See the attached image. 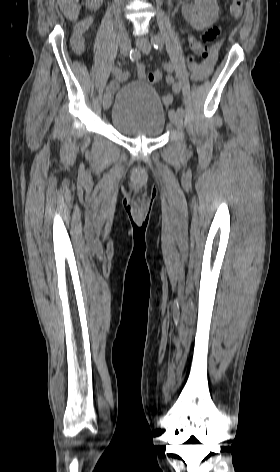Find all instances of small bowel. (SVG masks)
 Masks as SVG:
<instances>
[{"instance_id": "c3829d8e", "label": "small bowel", "mask_w": 280, "mask_h": 472, "mask_svg": "<svg viewBox=\"0 0 280 472\" xmlns=\"http://www.w3.org/2000/svg\"><path fill=\"white\" fill-rule=\"evenodd\" d=\"M91 24L90 19H85L81 21L75 28L74 34L72 36V47L73 50L77 54L83 53L85 46H86V38L84 37L85 31L88 29V27ZM186 38L188 43L190 44L191 47H193L196 43L195 38L190 35L186 34ZM216 52H212L211 55H209L207 58H205L203 61L199 63H193L189 65V69L191 72V77L194 81H202L209 77L214 69L215 63H216ZM137 69V76L141 80L146 79V70H145V65L142 62H138L136 65ZM127 79V74L123 72V77L120 79H117V81H124ZM172 82L171 77H166L165 78V83L167 85H170ZM162 100L165 103V105H170L173 102V97L170 94H164L162 96Z\"/></svg>"}]
</instances>
